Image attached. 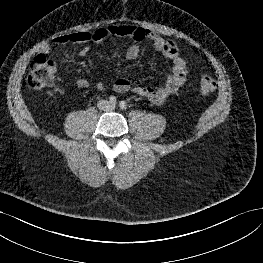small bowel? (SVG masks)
Returning a JSON list of instances; mask_svg holds the SVG:
<instances>
[{"label":"small bowel","instance_id":"c3829d8e","mask_svg":"<svg viewBox=\"0 0 263 263\" xmlns=\"http://www.w3.org/2000/svg\"><path fill=\"white\" fill-rule=\"evenodd\" d=\"M110 37L129 38L132 40L127 50V56L135 59L139 55V43L149 41L154 50L161 53L171 61V74L165 83L157 88L134 86L127 78H119L113 84V89L117 93L132 92L138 96L148 99L155 105L163 104L171 95L175 94L186 82L188 68L185 60L180 56L177 44L172 40H167L157 33L131 24L110 25L108 27L97 29L93 32H75L67 35H61L52 40L51 43H45L41 46V54L50 52L53 46H62L66 44L84 45L80 51L82 56L89 52L91 46L100 43ZM79 89L87 88L89 82L85 78H79L75 83ZM97 89L101 92L106 90L103 83L97 84Z\"/></svg>","mask_w":263,"mask_h":263}]
</instances>
